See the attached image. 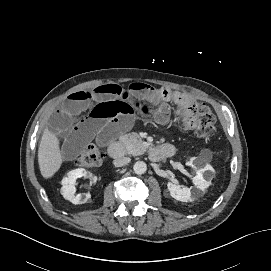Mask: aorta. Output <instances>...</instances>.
Listing matches in <instances>:
<instances>
[{"label":"aorta","mask_w":271,"mask_h":271,"mask_svg":"<svg viewBox=\"0 0 271 271\" xmlns=\"http://www.w3.org/2000/svg\"><path fill=\"white\" fill-rule=\"evenodd\" d=\"M133 170L138 175L144 174L147 170V165L144 161H137L133 166Z\"/></svg>","instance_id":"obj_1"}]
</instances>
